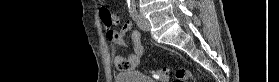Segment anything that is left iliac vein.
I'll return each instance as SVG.
<instances>
[{
	"label": "left iliac vein",
	"instance_id": "4c4485c4",
	"mask_svg": "<svg viewBox=\"0 0 279 82\" xmlns=\"http://www.w3.org/2000/svg\"><path fill=\"white\" fill-rule=\"evenodd\" d=\"M137 25L140 29L144 31H149L150 29L149 21L142 14L138 15Z\"/></svg>",
	"mask_w": 279,
	"mask_h": 82
}]
</instances>
